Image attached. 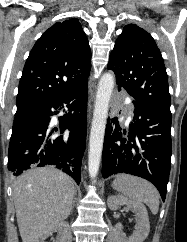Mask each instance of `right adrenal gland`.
<instances>
[{
    "mask_svg": "<svg viewBox=\"0 0 187 242\" xmlns=\"http://www.w3.org/2000/svg\"><path fill=\"white\" fill-rule=\"evenodd\" d=\"M76 195H74V199H73V205H72V209H71V213L73 212V209H74V203H75V201H76V197H75Z\"/></svg>",
    "mask_w": 187,
    "mask_h": 242,
    "instance_id": "right-adrenal-gland-1",
    "label": "right adrenal gland"
}]
</instances>
